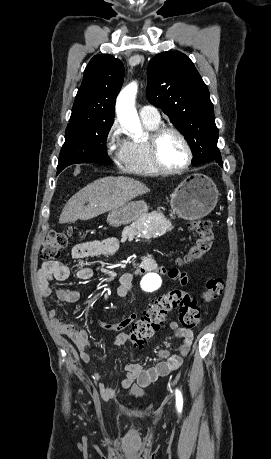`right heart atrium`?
Returning <instances> with one entry per match:
<instances>
[{
	"label": "right heart atrium",
	"mask_w": 271,
	"mask_h": 459,
	"mask_svg": "<svg viewBox=\"0 0 271 459\" xmlns=\"http://www.w3.org/2000/svg\"><path fill=\"white\" fill-rule=\"evenodd\" d=\"M127 144L128 142L122 138V131L118 121H113L104 134L103 145L106 154L115 165L121 166L123 164Z\"/></svg>",
	"instance_id": "d8ad5b80"
}]
</instances>
